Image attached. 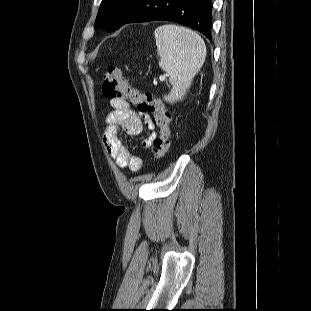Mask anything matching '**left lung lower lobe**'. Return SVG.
<instances>
[{"instance_id": "obj_1", "label": "left lung lower lobe", "mask_w": 311, "mask_h": 311, "mask_svg": "<svg viewBox=\"0 0 311 311\" xmlns=\"http://www.w3.org/2000/svg\"><path fill=\"white\" fill-rule=\"evenodd\" d=\"M156 20L189 26L211 39V0H132L122 13L116 29L127 23Z\"/></svg>"}]
</instances>
